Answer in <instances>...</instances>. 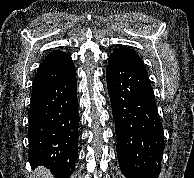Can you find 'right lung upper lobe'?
I'll list each match as a JSON object with an SVG mask.
<instances>
[{
	"label": "right lung upper lobe",
	"instance_id": "1",
	"mask_svg": "<svg viewBox=\"0 0 194 178\" xmlns=\"http://www.w3.org/2000/svg\"><path fill=\"white\" fill-rule=\"evenodd\" d=\"M74 69L73 61L67 53L54 50L40 64L33 80V86L60 80Z\"/></svg>",
	"mask_w": 194,
	"mask_h": 178
}]
</instances>
